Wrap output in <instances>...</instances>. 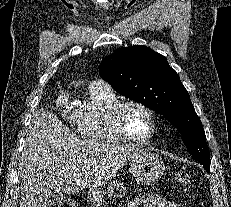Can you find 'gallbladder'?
<instances>
[{"label": "gallbladder", "instance_id": "gallbladder-1", "mask_svg": "<svg viewBox=\"0 0 231 207\" xmlns=\"http://www.w3.org/2000/svg\"><path fill=\"white\" fill-rule=\"evenodd\" d=\"M65 196L62 192H54L52 193L47 202V207H51L52 205L61 204L63 200H65Z\"/></svg>", "mask_w": 231, "mask_h": 207}]
</instances>
